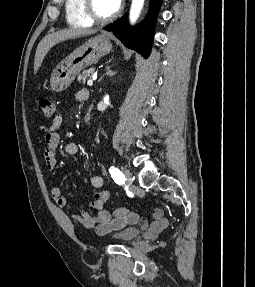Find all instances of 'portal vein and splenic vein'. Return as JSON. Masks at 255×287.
Listing matches in <instances>:
<instances>
[{"instance_id": "obj_1", "label": "portal vein and splenic vein", "mask_w": 255, "mask_h": 287, "mask_svg": "<svg viewBox=\"0 0 255 287\" xmlns=\"http://www.w3.org/2000/svg\"><path fill=\"white\" fill-rule=\"evenodd\" d=\"M96 78H97V76H96V74H94L92 80H88L87 86H93V82H94V80H96Z\"/></svg>"}]
</instances>
